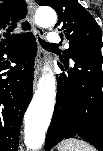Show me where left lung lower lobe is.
Masks as SVG:
<instances>
[{"label": "left lung lower lobe", "mask_w": 103, "mask_h": 151, "mask_svg": "<svg viewBox=\"0 0 103 151\" xmlns=\"http://www.w3.org/2000/svg\"><path fill=\"white\" fill-rule=\"evenodd\" d=\"M58 63L57 100L45 151L63 139L79 137L103 150V71L101 48L76 49ZM72 67H69V66Z\"/></svg>", "instance_id": "1"}]
</instances>
